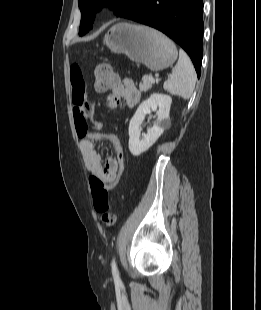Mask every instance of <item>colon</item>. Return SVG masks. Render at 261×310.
Here are the masks:
<instances>
[{"label": "colon", "instance_id": "1", "mask_svg": "<svg viewBox=\"0 0 261 310\" xmlns=\"http://www.w3.org/2000/svg\"><path fill=\"white\" fill-rule=\"evenodd\" d=\"M116 82V77L108 64H99L94 72V89L96 92L103 93L112 88ZM117 161L119 165V175L113 184H109L101 180L99 177L92 175L89 179L90 188L93 198V206L100 214L101 221L106 226L114 225L116 218L108 212L109 209V190L113 189L119 180V177L124 169L125 155L120 142L116 141L113 144Z\"/></svg>", "mask_w": 261, "mask_h": 310}]
</instances>
